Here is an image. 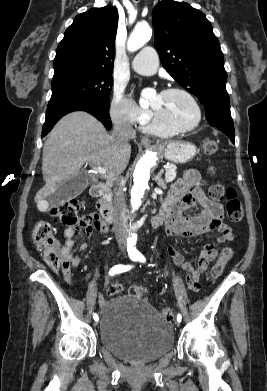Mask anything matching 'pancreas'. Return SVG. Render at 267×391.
<instances>
[{"label":"pancreas","mask_w":267,"mask_h":391,"mask_svg":"<svg viewBox=\"0 0 267 391\" xmlns=\"http://www.w3.org/2000/svg\"><path fill=\"white\" fill-rule=\"evenodd\" d=\"M175 178H176V166L171 164L168 166L167 169H165V181L172 182L173 180H175ZM105 199L107 200V202L111 203V200H112L111 191H109L106 194Z\"/></svg>","instance_id":"1"}]
</instances>
